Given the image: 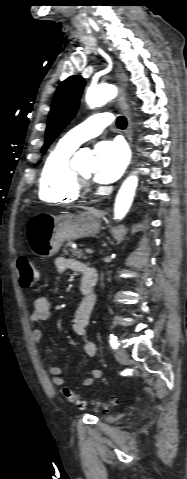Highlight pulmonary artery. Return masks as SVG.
Wrapping results in <instances>:
<instances>
[{"label": "pulmonary artery", "instance_id": "e3ab8cb5", "mask_svg": "<svg viewBox=\"0 0 187 479\" xmlns=\"http://www.w3.org/2000/svg\"><path fill=\"white\" fill-rule=\"evenodd\" d=\"M112 121L113 117L110 113L94 114L80 125L68 131L60 141L69 147L76 148L86 140L99 135Z\"/></svg>", "mask_w": 187, "mask_h": 479}]
</instances>
